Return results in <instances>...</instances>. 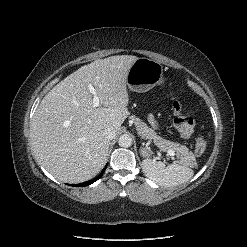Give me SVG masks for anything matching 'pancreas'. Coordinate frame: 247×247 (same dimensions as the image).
<instances>
[{
    "mask_svg": "<svg viewBox=\"0 0 247 247\" xmlns=\"http://www.w3.org/2000/svg\"><path fill=\"white\" fill-rule=\"evenodd\" d=\"M133 120L137 127L138 134L142 138L153 140L154 144L163 151L169 149L173 150L174 152H176L177 157L180 158L183 162L189 163L194 159V154L190 152L186 146L161 138L154 132V130L149 128L138 118H134Z\"/></svg>",
    "mask_w": 247,
    "mask_h": 247,
    "instance_id": "obj_1",
    "label": "pancreas"
}]
</instances>
